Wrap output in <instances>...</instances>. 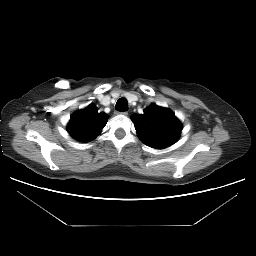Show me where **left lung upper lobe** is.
I'll return each mask as SVG.
<instances>
[{
    "instance_id": "5c2ea615",
    "label": "left lung upper lobe",
    "mask_w": 256,
    "mask_h": 256,
    "mask_svg": "<svg viewBox=\"0 0 256 256\" xmlns=\"http://www.w3.org/2000/svg\"><path fill=\"white\" fill-rule=\"evenodd\" d=\"M138 137L148 146L162 149L174 144L181 133V123L169 109L151 105L144 114L131 116Z\"/></svg>"
}]
</instances>
